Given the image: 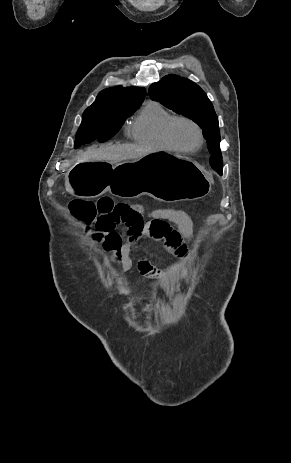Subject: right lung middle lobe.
Instances as JSON below:
<instances>
[{
  "mask_svg": "<svg viewBox=\"0 0 291 463\" xmlns=\"http://www.w3.org/2000/svg\"><path fill=\"white\" fill-rule=\"evenodd\" d=\"M140 103L127 108L99 107L86 109L83 113L82 123L77 131L74 148L111 138L124 123L125 119L133 113Z\"/></svg>",
  "mask_w": 291,
  "mask_h": 463,
  "instance_id": "dd1d6c3e",
  "label": "right lung middle lobe"
}]
</instances>
